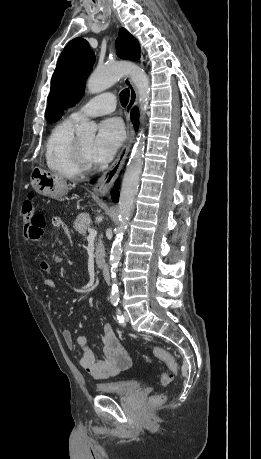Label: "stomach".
I'll return each mask as SVG.
<instances>
[{"label": "stomach", "mask_w": 261, "mask_h": 459, "mask_svg": "<svg viewBox=\"0 0 261 459\" xmlns=\"http://www.w3.org/2000/svg\"><path fill=\"white\" fill-rule=\"evenodd\" d=\"M32 188L39 194L58 199L68 192L66 180L59 174L34 168L30 175Z\"/></svg>", "instance_id": "0dacf381"}]
</instances>
